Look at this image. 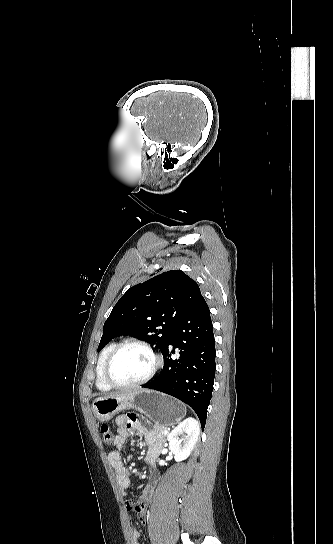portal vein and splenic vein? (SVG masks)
I'll return each mask as SVG.
<instances>
[{"mask_svg": "<svg viewBox=\"0 0 333 544\" xmlns=\"http://www.w3.org/2000/svg\"><path fill=\"white\" fill-rule=\"evenodd\" d=\"M167 433H168V431H164V434H167Z\"/></svg>", "mask_w": 333, "mask_h": 544, "instance_id": "portal-vein-and-splenic-vein-1", "label": "portal vein and splenic vein"}]
</instances>
